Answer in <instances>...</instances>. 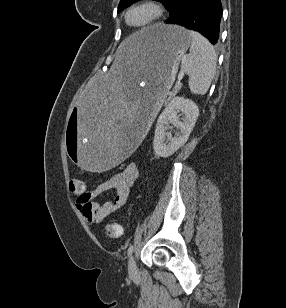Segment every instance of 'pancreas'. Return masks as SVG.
Returning a JSON list of instances; mask_svg holds the SVG:
<instances>
[{"label": "pancreas", "instance_id": "obj_1", "mask_svg": "<svg viewBox=\"0 0 286 308\" xmlns=\"http://www.w3.org/2000/svg\"><path fill=\"white\" fill-rule=\"evenodd\" d=\"M180 88V86H176L174 90L170 93V98L176 95L179 92Z\"/></svg>", "mask_w": 286, "mask_h": 308}]
</instances>
